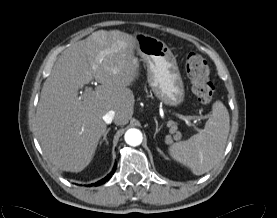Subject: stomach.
<instances>
[{"instance_id":"stomach-1","label":"stomach","mask_w":277,"mask_h":218,"mask_svg":"<svg viewBox=\"0 0 277 218\" xmlns=\"http://www.w3.org/2000/svg\"><path fill=\"white\" fill-rule=\"evenodd\" d=\"M136 52L147 66V79L154 95L164 105L176 107L185 98L176 58L160 39L138 33Z\"/></svg>"}]
</instances>
